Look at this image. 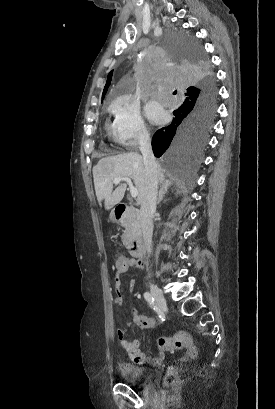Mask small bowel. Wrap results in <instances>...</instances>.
<instances>
[{
	"label": "small bowel",
	"instance_id": "obj_1",
	"mask_svg": "<svg viewBox=\"0 0 275 409\" xmlns=\"http://www.w3.org/2000/svg\"><path fill=\"white\" fill-rule=\"evenodd\" d=\"M125 265V271L131 267L139 268L141 264L128 260ZM114 283L117 285V289L115 291V297L113 299L114 303L117 305L122 304L123 302V295L121 290L119 289V284L121 283V275L119 273L113 274ZM129 290L132 292L135 289V281L133 278L129 279ZM131 315L134 317L133 321L136 324L137 328H153L156 324V320L152 317H146L138 313V311L134 308L130 310ZM131 326L134 324L132 321L129 323ZM118 340L120 345L122 346L123 350H129L128 358L130 360H135L137 363L141 365H160L164 361L163 354H160L158 357H150L140 352V348L138 347L140 341L138 338H131L129 340L128 337H125V331L119 330L118 331Z\"/></svg>",
	"mask_w": 275,
	"mask_h": 409
}]
</instances>
